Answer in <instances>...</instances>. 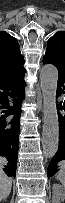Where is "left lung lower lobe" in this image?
I'll use <instances>...</instances> for the list:
<instances>
[{"instance_id": "1", "label": "left lung lower lobe", "mask_w": 65, "mask_h": 203, "mask_svg": "<svg viewBox=\"0 0 65 203\" xmlns=\"http://www.w3.org/2000/svg\"><path fill=\"white\" fill-rule=\"evenodd\" d=\"M43 63L53 64L59 71L56 97H59L62 94H65V70L59 68L53 62V60L50 59L48 56L43 57ZM57 108L59 110H62V112L58 111L59 133H60L59 148L49 164L48 171H47L48 178H50L60 170L61 163L58 164L60 161H62V163L65 164V100H64V103H60L59 105H57Z\"/></svg>"}]
</instances>
